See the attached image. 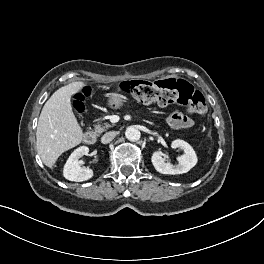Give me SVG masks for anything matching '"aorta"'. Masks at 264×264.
<instances>
[{"mask_svg":"<svg viewBox=\"0 0 264 264\" xmlns=\"http://www.w3.org/2000/svg\"><path fill=\"white\" fill-rule=\"evenodd\" d=\"M125 136L129 141H137L140 139V132L134 127H128Z\"/></svg>","mask_w":264,"mask_h":264,"instance_id":"obj_1","label":"aorta"}]
</instances>
